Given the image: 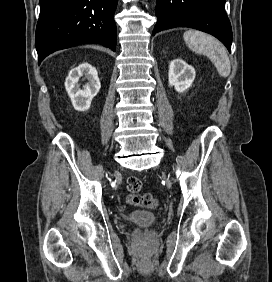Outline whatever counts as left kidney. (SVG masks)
Returning <instances> with one entry per match:
<instances>
[{
	"instance_id": "obj_1",
	"label": "left kidney",
	"mask_w": 272,
	"mask_h": 282,
	"mask_svg": "<svg viewBox=\"0 0 272 282\" xmlns=\"http://www.w3.org/2000/svg\"><path fill=\"white\" fill-rule=\"evenodd\" d=\"M196 72L194 67L188 65L182 59H174L169 65V85L174 86L175 90L183 93L191 87Z\"/></svg>"
}]
</instances>
